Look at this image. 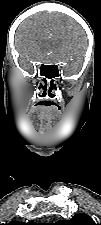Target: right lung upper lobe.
<instances>
[{
  "label": "right lung upper lobe",
  "instance_id": "obj_1",
  "mask_svg": "<svg viewBox=\"0 0 101 225\" xmlns=\"http://www.w3.org/2000/svg\"><path fill=\"white\" fill-rule=\"evenodd\" d=\"M7 225H39V224H36L35 222L33 221H30L28 223H24V222H20V221H11L10 223H8Z\"/></svg>",
  "mask_w": 101,
  "mask_h": 225
}]
</instances>
